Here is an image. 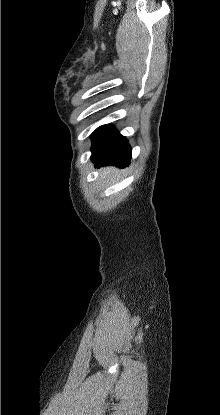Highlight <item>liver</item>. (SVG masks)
<instances>
[{"label": "liver", "mask_w": 220, "mask_h": 415, "mask_svg": "<svg viewBox=\"0 0 220 415\" xmlns=\"http://www.w3.org/2000/svg\"><path fill=\"white\" fill-rule=\"evenodd\" d=\"M112 171V168H105L102 170V174L103 176H106L107 174H109Z\"/></svg>", "instance_id": "6515ba94"}]
</instances>
